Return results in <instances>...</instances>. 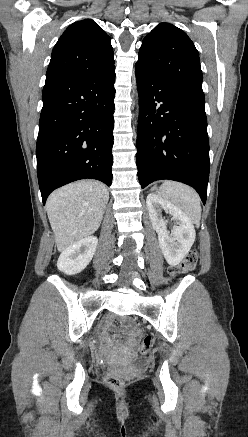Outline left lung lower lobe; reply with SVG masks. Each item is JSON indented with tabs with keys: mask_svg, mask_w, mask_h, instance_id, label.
Instances as JSON below:
<instances>
[{
	"mask_svg": "<svg viewBox=\"0 0 248 437\" xmlns=\"http://www.w3.org/2000/svg\"><path fill=\"white\" fill-rule=\"evenodd\" d=\"M135 72L140 98L136 163L141 187L162 179L183 182L205 204L209 140L204 93Z\"/></svg>",
	"mask_w": 248,
	"mask_h": 437,
	"instance_id": "1",
	"label": "left lung lower lobe"
}]
</instances>
